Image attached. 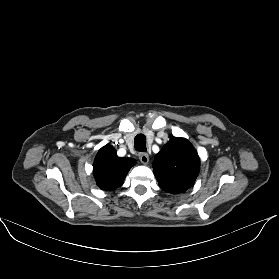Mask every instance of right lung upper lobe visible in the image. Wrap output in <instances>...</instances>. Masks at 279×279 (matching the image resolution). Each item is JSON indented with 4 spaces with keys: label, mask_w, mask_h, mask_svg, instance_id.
<instances>
[{
    "label": "right lung upper lobe",
    "mask_w": 279,
    "mask_h": 279,
    "mask_svg": "<svg viewBox=\"0 0 279 279\" xmlns=\"http://www.w3.org/2000/svg\"><path fill=\"white\" fill-rule=\"evenodd\" d=\"M135 163L133 158L118 157L111 145L102 147L93 164V174L97 185L102 190H115L123 184L128 171Z\"/></svg>",
    "instance_id": "cb5924a9"
}]
</instances>
